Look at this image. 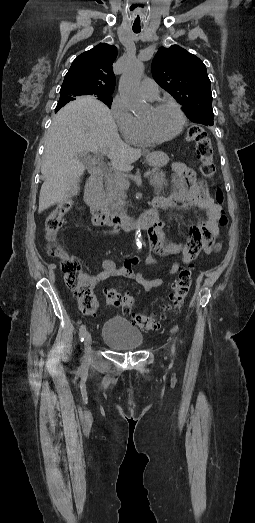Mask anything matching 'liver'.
<instances>
[{"mask_svg":"<svg viewBox=\"0 0 255 523\" xmlns=\"http://www.w3.org/2000/svg\"><path fill=\"white\" fill-rule=\"evenodd\" d=\"M84 152H106L117 172H130L141 150L122 142L111 110L93 96H82L55 114L45 140L38 214L71 198L85 172ZM168 162L166 154L158 152Z\"/></svg>","mask_w":255,"mask_h":523,"instance_id":"liver-1","label":"liver"}]
</instances>
